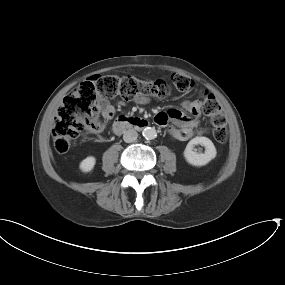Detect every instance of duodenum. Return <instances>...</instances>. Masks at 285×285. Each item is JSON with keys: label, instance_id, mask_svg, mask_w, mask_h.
Masks as SVG:
<instances>
[{"label": "duodenum", "instance_id": "obj_1", "mask_svg": "<svg viewBox=\"0 0 285 285\" xmlns=\"http://www.w3.org/2000/svg\"><path fill=\"white\" fill-rule=\"evenodd\" d=\"M148 125L149 123L146 119L122 116L114 121L112 129L114 133L120 134L128 129L142 130L148 127Z\"/></svg>", "mask_w": 285, "mask_h": 285}]
</instances>
